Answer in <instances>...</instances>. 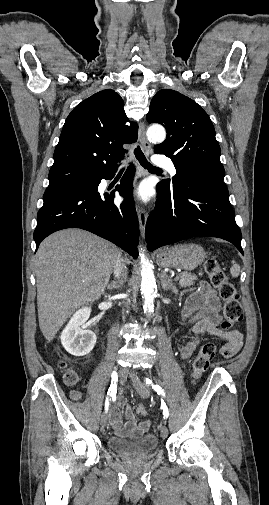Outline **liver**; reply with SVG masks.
Returning <instances> with one entry per match:
<instances>
[{"label":"liver","mask_w":269,"mask_h":505,"mask_svg":"<svg viewBox=\"0 0 269 505\" xmlns=\"http://www.w3.org/2000/svg\"><path fill=\"white\" fill-rule=\"evenodd\" d=\"M119 257L115 245L80 229L58 231L40 244L35 256L38 319L48 342L75 310L100 298Z\"/></svg>","instance_id":"obj_1"}]
</instances>
